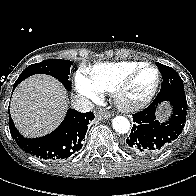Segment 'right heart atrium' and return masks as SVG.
<instances>
[{
    "label": "right heart atrium",
    "mask_w": 196,
    "mask_h": 196,
    "mask_svg": "<svg viewBox=\"0 0 196 196\" xmlns=\"http://www.w3.org/2000/svg\"><path fill=\"white\" fill-rule=\"evenodd\" d=\"M76 89L85 98L91 101H98L101 98V91L91 82L88 75L79 70L75 77Z\"/></svg>",
    "instance_id": "obj_1"
}]
</instances>
